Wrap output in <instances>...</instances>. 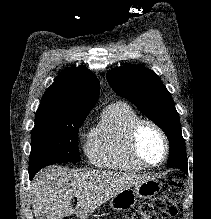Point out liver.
<instances>
[{
    "mask_svg": "<svg viewBox=\"0 0 211 219\" xmlns=\"http://www.w3.org/2000/svg\"><path fill=\"white\" fill-rule=\"evenodd\" d=\"M147 175L135 173L86 170L67 172L62 167L41 170L32 182V208L36 219H62L76 214L87 219L102 204L119 192L132 188ZM76 197L77 205H71Z\"/></svg>",
    "mask_w": 211,
    "mask_h": 219,
    "instance_id": "6515ba94",
    "label": "liver"
}]
</instances>
